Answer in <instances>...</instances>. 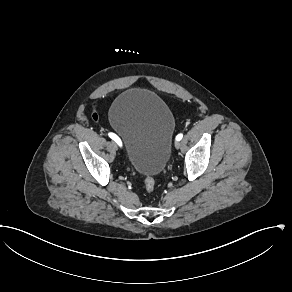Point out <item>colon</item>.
Here are the masks:
<instances>
[{"label": "colon", "instance_id": "obj_1", "mask_svg": "<svg viewBox=\"0 0 292 292\" xmlns=\"http://www.w3.org/2000/svg\"><path fill=\"white\" fill-rule=\"evenodd\" d=\"M93 117H97L94 115ZM156 182L153 177L146 175L144 178V189L147 194H152L154 192Z\"/></svg>", "mask_w": 292, "mask_h": 292}]
</instances>
